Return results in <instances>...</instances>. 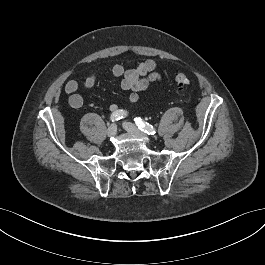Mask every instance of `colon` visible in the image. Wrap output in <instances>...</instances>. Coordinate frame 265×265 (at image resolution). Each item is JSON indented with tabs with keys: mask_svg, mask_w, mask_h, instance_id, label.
I'll return each instance as SVG.
<instances>
[{
	"mask_svg": "<svg viewBox=\"0 0 265 265\" xmlns=\"http://www.w3.org/2000/svg\"><path fill=\"white\" fill-rule=\"evenodd\" d=\"M174 81L178 88L183 89L189 84V78L184 73H177L174 76Z\"/></svg>",
	"mask_w": 265,
	"mask_h": 265,
	"instance_id": "colon-1",
	"label": "colon"
}]
</instances>
